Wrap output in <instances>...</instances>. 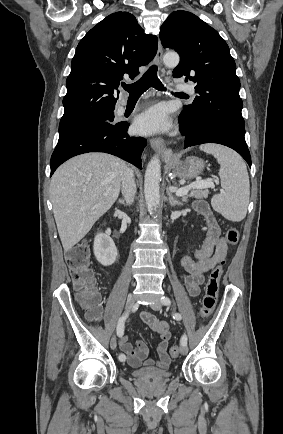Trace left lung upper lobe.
Segmentation results:
<instances>
[{
	"label": "left lung upper lobe",
	"mask_w": 283,
	"mask_h": 434,
	"mask_svg": "<svg viewBox=\"0 0 283 434\" xmlns=\"http://www.w3.org/2000/svg\"><path fill=\"white\" fill-rule=\"evenodd\" d=\"M160 39L165 48L180 55L173 77H185L196 84L198 95L179 116L185 127L192 131L212 120H227L244 127L236 64L218 32L196 15L178 10L162 24Z\"/></svg>",
	"instance_id": "obj_1"
}]
</instances>
